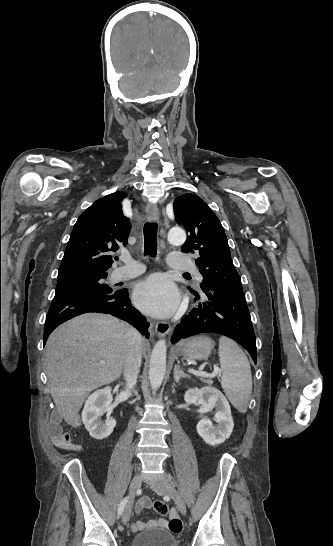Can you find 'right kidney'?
<instances>
[{
    "label": "right kidney",
    "mask_w": 333,
    "mask_h": 546,
    "mask_svg": "<svg viewBox=\"0 0 333 546\" xmlns=\"http://www.w3.org/2000/svg\"><path fill=\"white\" fill-rule=\"evenodd\" d=\"M112 400L111 388L105 387L96 390L85 402L82 422L90 436L97 440L108 437L116 426V420L110 417L113 412ZM104 413H107V419L102 421Z\"/></svg>",
    "instance_id": "right-kidney-1"
}]
</instances>
